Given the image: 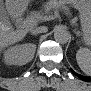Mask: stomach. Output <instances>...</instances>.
Masks as SVG:
<instances>
[{
	"instance_id": "obj_1",
	"label": "stomach",
	"mask_w": 91,
	"mask_h": 91,
	"mask_svg": "<svg viewBox=\"0 0 91 91\" xmlns=\"http://www.w3.org/2000/svg\"><path fill=\"white\" fill-rule=\"evenodd\" d=\"M70 2L74 6L83 9L84 12L86 11L87 8H89V2L88 1L71 0ZM82 27H83V31L85 33L86 40H89V38H90V28H91V17L89 16V12L87 13V15L82 17Z\"/></svg>"
}]
</instances>
